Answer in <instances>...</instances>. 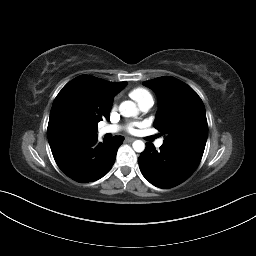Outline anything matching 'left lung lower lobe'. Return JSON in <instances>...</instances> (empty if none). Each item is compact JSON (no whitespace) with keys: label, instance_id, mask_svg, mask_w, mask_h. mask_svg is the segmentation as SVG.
<instances>
[{"label":"left lung lower lobe","instance_id":"1","mask_svg":"<svg viewBox=\"0 0 256 256\" xmlns=\"http://www.w3.org/2000/svg\"><path fill=\"white\" fill-rule=\"evenodd\" d=\"M139 167L143 176L154 186L168 189L188 179L199 163L174 151L160 147L156 151L152 143H146L140 154Z\"/></svg>","mask_w":256,"mask_h":256}]
</instances>
